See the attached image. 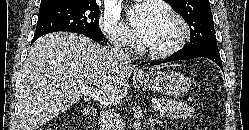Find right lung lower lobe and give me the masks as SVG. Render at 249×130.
Wrapping results in <instances>:
<instances>
[{"label":"right lung lower lobe","instance_id":"right-lung-lower-lobe-1","mask_svg":"<svg viewBox=\"0 0 249 130\" xmlns=\"http://www.w3.org/2000/svg\"><path fill=\"white\" fill-rule=\"evenodd\" d=\"M68 32H75V33H79V34H83L89 38H91L92 40H95V41H101L102 39H99V38H96L95 36H92L84 31H79V30H71V31H68ZM40 36H34L33 39H32V43H34Z\"/></svg>","mask_w":249,"mask_h":130}]
</instances>
